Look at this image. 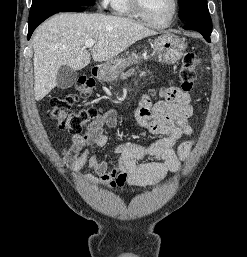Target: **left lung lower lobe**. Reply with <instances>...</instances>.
<instances>
[{
    "label": "left lung lower lobe",
    "instance_id": "1",
    "mask_svg": "<svg viewBox=\"0 0 247 257\" xmlns=\"http://www.w3.org/2000/svg\"><path fill=\"white\" fill-rule=\"evenodd\" d=\"M184 29L198 31L203 35L207 42H210V35L212 32V24H206L198 20H190L185 22Z\"/></svg>",
    "mask_w": 247,
    "mask_h": 257
}]
</instances>
